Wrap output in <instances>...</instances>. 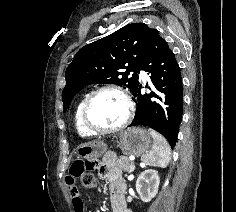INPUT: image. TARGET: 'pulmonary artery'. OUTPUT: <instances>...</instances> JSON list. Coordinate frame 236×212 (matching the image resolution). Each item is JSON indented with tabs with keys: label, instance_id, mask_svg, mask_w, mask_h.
Returning <instances> with one entry per match:
<instances>
[{
	"label": "pulmonary artery",
	"instance_id": "e3ab8cb5",
	"mask_svg": "<svg viewBox=\"0 0 236 212\" xmlns=\"http://www.w3.org/2000/svg\"><path fill=\"white\" fill-rule=\"evenodd\" d=\"M140 76L143 78V79H145L147 76H146V74L144 73V72H140Z\"/></svg>",
	"mask_w": 236,
	"mask_h": 212
}]
</instances>
